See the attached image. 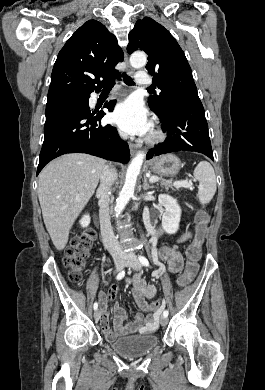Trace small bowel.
Segmentation results:
<instances>
[{"mask_svg": "<svg viewBox=\"0 0 265 390\" xmlns=\"http://www.w3.org/2000/svg\"><path fill=\"white\" fill-rule=\"evenodd\" d=\"M193 236L192 231L185 232L177 241V244L173 246H162L158 250V256L160 259L166 261L168 269L172 273H178L183 267V257L178 250V244L183 243ZM133 286V296L136 304L142 312L134 315L133 320L126 323L128 318L127 312L119 307L117 304L113 306V329L110 328L108 322L107 308L110 304H113L117 295V288L112 287L108 294L104 292L99 293V300L103 307V314L101 320V329L107 340H111L117 336L125 335L128 333L147 334L157 329L158 327V315L152 314L151 306L147 302L156 294V287L149 284L140 275H135L129 281Z\"/></svg>", "mask_w": 265, "mask_h": 390, "instance_id": "c3829d8e", "label": "small bowel"}]
</instances>
